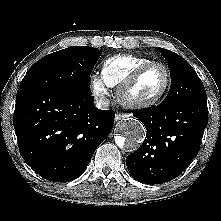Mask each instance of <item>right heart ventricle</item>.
Segmentation results:
<instances>
[{"label":"right heart ventricle","mask_w":221,"mask_h":221,"mask_svg":"<svg viewBox=\"0 0 221 221\" xmlns=\"http://www.w3.org/2000/svg\"><path fill=\"white\" fill-rule=\"evenodd\" d=\"M145 56L116 55L104 61L102 78L107 86L119 87L139 67L152 62Z\"/></svg>","instance_id":"obj_1"}]
</instances>
